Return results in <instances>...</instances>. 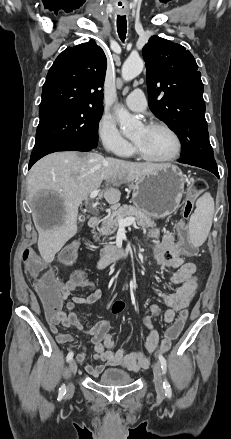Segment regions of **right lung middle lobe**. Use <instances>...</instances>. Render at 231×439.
I'll use <instances>...</instances> for the list:
<instances>
[{
	"label": "right lung middle lobe",
	"mask_w": 231,
	"mask_h": 439,
	"mask_svg": "<svg viewBox=\"0 0 231 439\" xmlns=\"http://www.w3.org/2000/svg\"><path fill=\"white\" fill-rule=\"evenodd\" d=\"M102 113L103 108H74L40 117L34 149L64 144L96 148Z\"/></svg>",
	"instance_id": "1"
}]
</instances>
